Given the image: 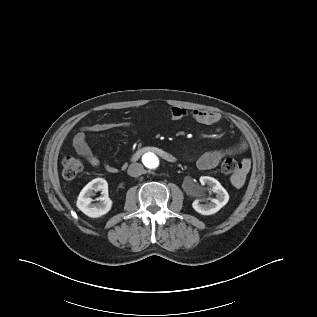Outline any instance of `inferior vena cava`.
I'll return each instance as SVG.
<instances>
[{
    "label": "inferior vena cava",
    "mask_w": 317,
    "mask_h": 317,
    "mask_svg": "<svg viewBox=\"0 0 317 317\" xmlns=\"http://www.w3.org/2000/svg\"><path fill=\"white\" fill-rule=\"evenodd\" d=\"M144 172V167L140 163H132L130 164L127 173L132 177H138L142 175Z\"/></svg>",
    "instance_id": "1"
}]
</instances>
